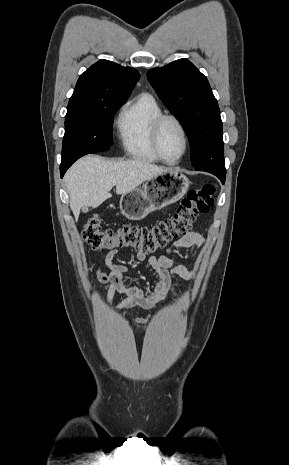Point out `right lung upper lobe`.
<instances>
[{
    "label": "right lung upper lobe",
    "instance_id": "1",
    "mask_svg": "<svg viewBox=\"0 0 289 465\" xmlns=\"http://www.w3.org/2000/svg\"><path fill=\"white\" fill-rule=\"evenodd\" d=\"M140 78L131 67L100 60L80 75L66 116L84 115L99 105L126 100Z\"/></svg>",
    "mask_w": 289,
    "mask_h": 465
}]
</instances>
